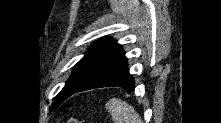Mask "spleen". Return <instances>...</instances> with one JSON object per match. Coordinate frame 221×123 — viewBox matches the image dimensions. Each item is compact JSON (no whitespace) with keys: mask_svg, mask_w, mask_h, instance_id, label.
<instances>
[{"mask_svg":"<svg viewBox=\"0 0 221 123\" xmlns=\"http://www.w3.org/2000/svg\"><path fill=\"white\" fill-rule=\"evenodd\" d=\"M115 123H141L139 114L127 102L113 98L106 104Z\"/></svg>","mask_w":221,"mask_h":123,"instance_id":"obj_1","label":"spleen"}]
</instances>
